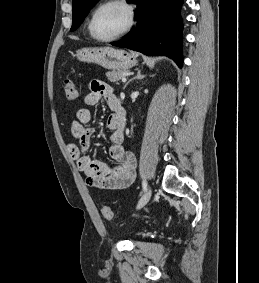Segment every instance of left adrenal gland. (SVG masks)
<instances>
[{"instance_id": "a2214340", "label": "left adrenal gland", "mask_w": 259, "mask_h": 283, "mask_svg": "<svg viewBox=\"0 0 259 283\" xmlns=\"http://www.w3.org/2000/svg\"><path fill=\"white\" fill-rule=\"evenodd\" d=\"M145 77V75L141 74V70H137V74L136 76L132 77L127 83H125L124 85V89L127 87V85L132 82L135 79H143Z\"/></svg>"}]
</instances>
